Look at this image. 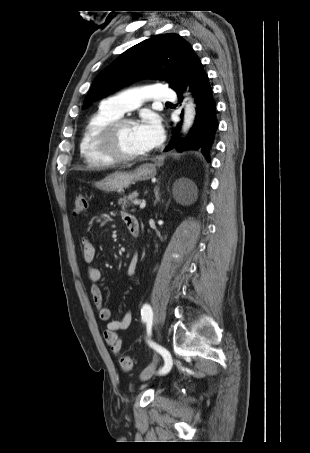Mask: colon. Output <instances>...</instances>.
<instances>
[{
	"label": "colon",
	"mask_w": 310,
	"mask_h": 453,
	"mask_svg": "<svg viewBox=\"0 0 310 453\" xmlns=\"http://www.w3.org/2000/svg\"><path fill=\"white\" fill-rule=\"evenodd\" d=\"M88 200L84 195H77L74 200V213L80 214L87 210ZM118 362L124 371H130L134 367V361L130 356L120 355Z\"/></svg>",
	"instance_id": "1"
}]
</instances>
